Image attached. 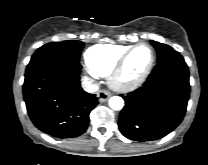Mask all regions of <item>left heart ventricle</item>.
Instances as JSON below:
<instances>
[{
	"label": "left heart ventricle",
	"instance_id": "b2bd125f",
	"mask_svg": "<svg viewBox=\"0 0 208 165\" xmlns=\"http://www.w3.org/2000/svg\"><path fill=\"white\" fill-rule=\"evenodd\" d=\"M151 52L147 47H140L133 52L127 62L124 78L133 79L138 76L149 64Z\"/></svg>",
	"mask_w": 208,
	"mask_h": 165
}]
</instances>
